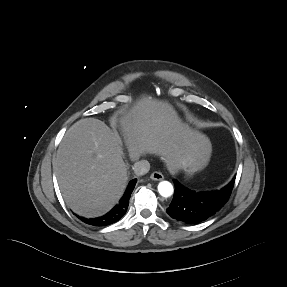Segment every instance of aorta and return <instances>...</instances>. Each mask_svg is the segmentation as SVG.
Listing matches in <instances>:
<instances>
[{
    "mask_svg": "<svg viewBox=\"0 0 287 287\" xmlns=\"http://www.w3.org/2000/svg\"><path fill=\"white\" fill-rule=\"evenodd\" d=\"M158 192L162 197H170L174 192L173 185L169 181H161L158 184Z\"/></svg>",
    "mask_w": 287,
    "mask_h": 287,
    "instance_id": "aorta-1",
    "label": "aorta"
}]
</instances>
